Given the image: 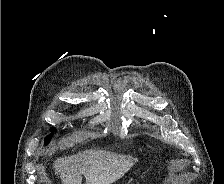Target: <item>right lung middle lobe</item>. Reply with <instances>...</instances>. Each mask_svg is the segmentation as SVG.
I'll list each match as a JSON object with an SVG mask.
<instances>
[{
	"instance_id": "obj_1",
	"label": "right lung middle lobe",
	"mask_w": 224,
	"mask_h": 184,
	"mask_svg": "<svg viewBox=\"0 0 224 184\" xmlns=\"http://www.w3.org/2000/svg\"><path fill=\"white\" fill-rule=\"evenodd\" d=\"M54 130H55L54 128H51V131H54ZM50 138H51V135L45 138V144L49 142Z\"/></svg>"
}]
</instances>
